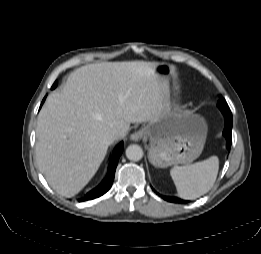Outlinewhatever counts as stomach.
<instances>
[{
	"label": "stomach",
	"instance_id": "0dacf381",
	"mask_svg": "<svg viewBox=\"0 0 261 254\" xmlns=\"http://www.w3.org/2000/svg\"><path fill=\"white\" fill-rule=\"evenodd\" d=\"M155 72L163 84L161 110L142 129L144 138L149 141V161L161 168L190 163L203 150L207 124L200 115L172 105L170 93L175 89L174 66L158 63Z\"/></svg>",
	"mask_w": 261,
	"mask_h": 254
}]
</instances>
